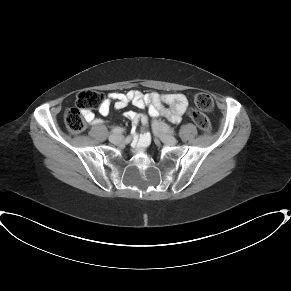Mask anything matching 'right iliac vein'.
Instances as JSON below:
<instances>
[{
    "mask_svg": "<svg viewBox=\"0 0 291 291\" xmlns=\"http://www.w3.org/2000/svg\"><path fill=\"white\" fill-rule=\"evenodd\" d=\"M122 139H123V137L121 135H119V134H112V135L109 136V141L111 143H114V144L122 141Z\"/></svg>",
    "mask_w": 291,
    "mask_h": 291,
    "instance_id": "right-iliac-vein-1",
    "label": "right iliac vein"
}]
</instances>
